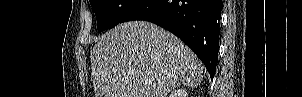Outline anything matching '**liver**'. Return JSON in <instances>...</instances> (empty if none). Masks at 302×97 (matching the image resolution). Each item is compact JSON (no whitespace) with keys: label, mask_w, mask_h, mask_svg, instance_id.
<instances>
[{"label":"liver","mask_w":302,"mask_h":97,"mask_svg":"<svg viewBox=\"0 0 302 97\" xmlns=\"http://www.w3.org/2000/svg\"><path fill=\"white\" fill-rule=\"evenodd\" d=\"M95 97H166L179 85L198 87L203 65L170 32L145 21L121 23L90 54Z\"/></svg>","instance_id":"6515ba94"}]
</instances>
